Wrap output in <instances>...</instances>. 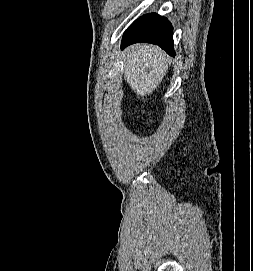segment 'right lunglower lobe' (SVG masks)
I'll return each mask as SVG.
<instances>
[{
    "mask_svg": "<svg viewBox=\"0 0 253 271\" xmlns=\"http://www.w3.org/2000/svg\"><path fill=\"white\" fill-rule=\"evenodd\" d=\"M137 42L159 45L174 56L173 30L171 23L157 14H147L137 19L124 33L121 48Z\"/></svg>",
    "mask_w": 253,
    "mask_h": 271,
    "instance_id": "98d812e1",
    "label": "right lung lower lobe"
}]
</instances>
